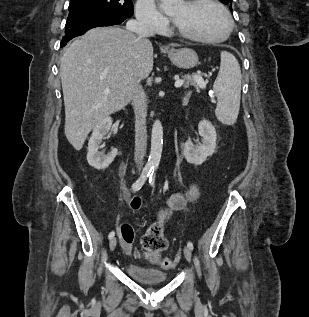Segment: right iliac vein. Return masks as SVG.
<instances>
[{
    "mask_svg": "<svg viewBox=\"0 0 309 317\" xmlns=\"http://www.w3.org/2000/svg\"><path fill=\"white\" fill-rule=\"evenodd\" d=\"M116 244H117V240L115 237H113L110 242H109V248L111 251H113L116 247Z\"/></svg>",
    "mask_w": 309,
    "mask_h": 317,
    "instance_id": "63e3f726",
    "label": "right iliac vein"
}]
</instances>
